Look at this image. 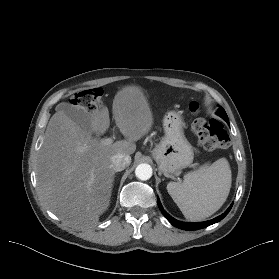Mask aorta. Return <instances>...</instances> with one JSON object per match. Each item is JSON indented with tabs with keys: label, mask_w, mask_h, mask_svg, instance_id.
I'll return each instance as SVG.
<instances>
[{
	"label": "aorta",
	"mask_w": 279,
	"mask_h": 279,
	"mask_svg": "<svg viewBox=\"0 0 279 279\" xmlns=\"http://www.w3.org/2000/svg\"><path fill=\"white\" fill-rule=\"evenodd\" d=\"M135 175L140 180H148L152 176V167L149 164H139L135 169Z\"/></svg>",
	"instance_id": "aorta-1"
}]
</instances>
